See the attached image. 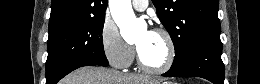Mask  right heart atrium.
Returning <instances> with one entry per match:
<instances>
[{"mask_svg":"<svg viewBox=\"0 0 260 84\" xmlns=\"http://www.w3.org/2000/svg\"><path fill=\"white\" fill-rule=\"evenodd\" d=\"M100 43L103 55L113 67L125 69L132 64L135 49L124 40L118 26L108 16L100 29Z\"/></svg>","mask_w":260,"mask_h":84,"instance_id":"obj_1","label":"right heart atrium"}]
</instances>
